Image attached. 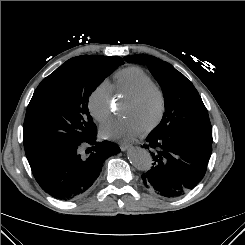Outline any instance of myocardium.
Instances as JSON below:
<instances>
[{
  "label": "myocardium",
  "instance_id": "1",
  "mask_svg": "<svg viewBox=\"0 0 245 245\" xmlns=\"http://www.w3.org/2000/svg\"><path fill=\"white\" fill-rule=\"evenodd\" d=\"M153 90L155 91L160 100V107H159V112L155 118V120L143 131H141L142 135H147L151 133L153 130H155L162 122L165 112H166V107H167V102H166V95L163 90V88L155 83V82H150L147 84H144L140 86L137 90H135L132 94H130L128 97H126L124 103L126 102H134L138 99H140L147 91Z\"/></svg>",
  "mask_w": 245,
  "mask_h": 245
}]
</instances>
